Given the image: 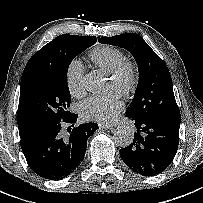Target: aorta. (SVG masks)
Here are the masks:
<instances>
[{
  "mask_svg": "<svg viewBox=\"0 0 203 203\" xmlns=\"http://www.w3.org/2000/svg\"><path fill=\"white\" fill-rule=\"evenodd\" d=\"M84 87L88 91H97L99 88V80L95 74L90 73L85 76ZM134 139V133L131 128L127 126H119L114 133V141L120 147H128Z\"/></svg>",
  "mask_w": 203,
  "mask_h": 203,
  "instance_id": "1",
  "label": "aorta"
}]
</instances>
